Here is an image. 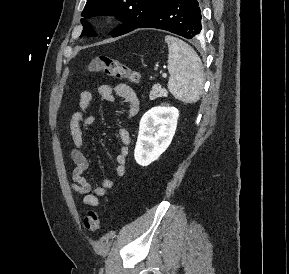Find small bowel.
<instances>
[{"mask_svg":"<svg viewBox=\"0 0 289 274\" xmlns=\"http://www.w3.org/2000/svg\"><path fill=\"white\" fill-rule=\"evenodd\" d=\"M96 91L102 99L110 103H115L118 97L121 98L126 106L125 116L127 119L134 118L139 112L140 99L135 90L127 84L119 83L113 88L106 84H100L96 87ZM92 98L93 91L91 89L83 90L80 94L79 109L70 120V135L74 145L70 151V157L75 165L72 172L71 189L83 196L82 203L84 205L97 207L100 204V198L106 196L116 186V182L106 178L99 185L93 186L84 176V172L89 167V161L82 151L85 145L84 133L96 121L95 116L87 114ZM118 137L121 145L115 157L114 173L118 177H123L126 173V159L131 138L125 127L119 128Z\"/></svg>","mask_w":289,"mask_h":274,"instance_id":"small-bowel-1","label":"small bowel"}]
</instances>
